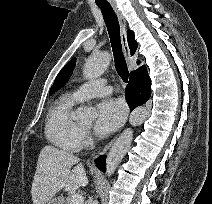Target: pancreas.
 Masks as SVG:
<instances>
[{
    "instance_id": "1",
    "label": "pancreas",
    "mask_w": 212,
    "mask_h": 204,
    "mask_svg": "<svg viewBox=\"0 0 212 204\" xmlns=\"http://www.w3.org/2000/svg\"><path fill=\"white\" fill-rule=\"evenodd\" d=\"M63 204H71L70 197H67L66 201Z\"/></svg>"
}]
</instances>
